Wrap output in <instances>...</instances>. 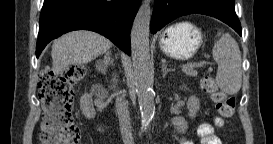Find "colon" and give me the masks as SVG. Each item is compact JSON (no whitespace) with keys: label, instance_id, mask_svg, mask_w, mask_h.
<instances>
[{"label":"colon","instance_id":"colon-1","mask_svg":"<svg viewBox=\"0 0 273 144\" xmlns=\"http://www.w3.org/2000/svg\"><path fill=\"white\" fill-rule=\"evenodd\" d=\"M81 67H71L60 74L51 70L39 76V98L43 104L41 142L43 144H77L80 131L73 120V85L83 79ZM202 88L210 93L219 115L229 121L234 114L236 99L221 92L210 76H205Z\"/></svg>","mask_w":273,"mask_h":144}]
</instances>
